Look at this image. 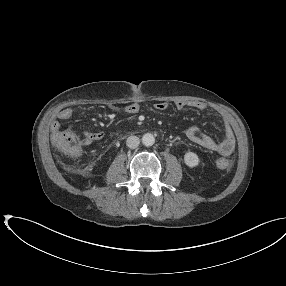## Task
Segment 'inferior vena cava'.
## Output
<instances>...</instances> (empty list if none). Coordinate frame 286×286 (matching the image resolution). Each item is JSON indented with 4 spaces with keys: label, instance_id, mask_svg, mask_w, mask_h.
<instances>
[{
    "label": "inferior vena cava",
    "instance_id": "602c4592",
    "mask_svg": "<svg viewBox=\"0 0 286 286\" xmlns=\"http://www.w3.org/2000/svg\"><path fill=\"white\" fill-rule=\"evenodd\" d=\"M139 143L140 139L137 136H129L126 141V145L131 149L138 147Z\"/></svg>",
    "mask_w": 286,
    "mask_h": 286
}]
</instances>
